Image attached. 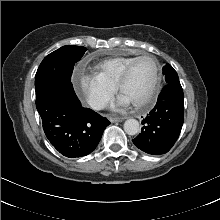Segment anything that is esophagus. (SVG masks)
<instances>
[{
    "mask_svg": "<svg viewBox=\"0 0 220 220\" xmlns=\"http://www.w3.org/2000/svg\"><path fill=\"white\" fill-rule=\"evenodd\" d=\"M125 118L124 117H110L109 120L111 123H114V122H120L122 120H124Z\"/></svg>",
    "mask_w": 220,
    "mask_h": 220,
    "instance_id": "obj_1",
    "label": "esophagus"
}]
</instances>
